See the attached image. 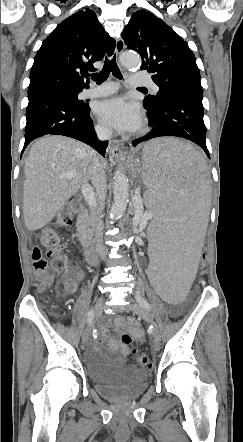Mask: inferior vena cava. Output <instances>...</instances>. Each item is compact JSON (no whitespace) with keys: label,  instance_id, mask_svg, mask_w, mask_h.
<instances>
[{"label":"inferior vena cava","instance_id":"602c4592","mask_svg":"<svg viewBox=\"0 0 243 442\" xmlns=\"http://www.w3.org/2000/svg\"><path fill=\"white\" fill-rule=\"evenodd\" d=\"M96 133L100 140H109L112 136L110 129L99 126L96 127ZM91 182L97 195V199L92 197L91 206H100L106 195L107 185L103 164L97 156L93 159ZM92 217L96 249L101 257L106 258L108 251L103 245V222L99 207L93 212Z\"/></svg>","mask_w":243,"mask_h":442}]
</instances>
